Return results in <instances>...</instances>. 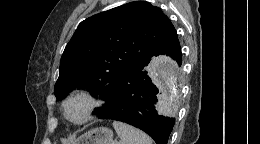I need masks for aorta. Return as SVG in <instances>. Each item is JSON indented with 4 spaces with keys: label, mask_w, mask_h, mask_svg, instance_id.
<instances>
[{
    "label": "aorta",
    "mask_w": 260,
    "mask_h": 144,
    "mask_svg": "<svg viewBox=\"0 0 260 144\" xmlns=\"http://www.w3.org/2000/svg\"><path fill=\"white\" fill-rule=\"evenodd\" d=\"M156 74L163 86L168 85L172 88L173 96L177 94V85L175 82V65L166 58H159L156 61ZM167 108V106H166ZM168 110V108H167Z\"/></svg>",
    "instance_id": "aorta-1"
}]
</instances>
